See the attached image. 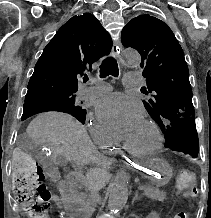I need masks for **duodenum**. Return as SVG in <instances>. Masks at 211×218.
Wrapping results in <instances>:
<instances>
[{"instance_id":"410a0bca","label":"duodenum","mask_w":211,"mask_h":218,"mask_svg":"<svg viewBox=\"0 0 211 218\" xmlns=\"http://www.w3.org/2000/svg\"><path fill=\"white\" fill-rule=\"evenodd\" d=\"M58 188L70 218H82L81 206L72 183L68 180H63L59 182Z\"/></svg>"}]
</instances>
